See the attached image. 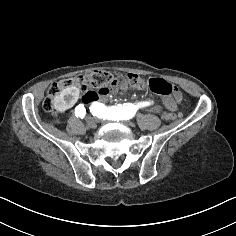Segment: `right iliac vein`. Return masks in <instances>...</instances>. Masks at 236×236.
Masks as SVG:
<instances>
[{"mask_svg": "<svg viewBox=\"0 0 236 236\" xmlns=\"http://www.w3.org/2000/svg\"><path fill=\"white\" fill-rule=\"evenodd\" d=\"M85 123L89 128H95L97 123L92 118H86Z\"/></svg>", "mask_w": 236, "mask_h": 236, "instance_id": "right-iliac-vein-1", "label": "right iliac vein"}]
</instances>
